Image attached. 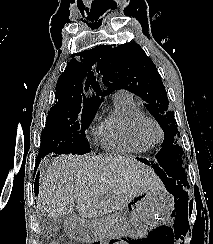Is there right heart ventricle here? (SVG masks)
Segmentation results:
<instances>
[{
	"label": "right heart ventricle",
	"instance_id": "right-heart-ventricle-1",
	"mask_svg": "<svg viewBox=\"0 0 213 244\" xmlns=\"http://www.w3.org/2000/svg\"><path fill=\"white\" fill-rule=\"evenodd\" d=\"M114 110L103 118L95 129L99 144L117 153H144L152 145L142 141L134 132V122L144 115L140 106L130 96L114 95Z\"/></svg>",
	"mask_w": 213,
	"mask_h": 244
}]
</instances>
